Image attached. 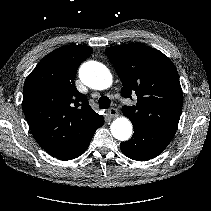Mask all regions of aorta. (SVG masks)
<instances>
[{
    "label": "aorta",
    "instance_id": "obj_1",
    "mask_svg": "<svg viewBox=\"0 0 211 211\" xmlns=\"http://www.w3.org/2000/svg\"><path fill=\"white\" fill-rule=\"evenodd\" d=\"M81 81L88 87L103 90L111 86L112 74L109 69L97 61H88L79 69ZM111 133L120 141L128 140L132 135V124L126 117H119L111 124Z\"/></svg>",
    "mask_w": 211,
    "mask_h": 211
}]
</instances>
